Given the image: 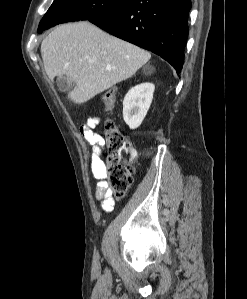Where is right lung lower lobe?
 <instances>
[{
  "mask_svg": "<svg viewBox=\"0 0 247 299\" xmlns=\"http://www.w3.org/2000/svg\"><path fill=\"white\" fill-rule=\"evenodd\" d=\"M190 8L191 0H128L114 11L89 21L158 54L180 73Z\"/></svg>",
  "mask_w": 247,
  "mask_h": 299,
  "instance_id": "right-lung-lower-lobe-1",
  "label": "right lung lower lobe"
}]
</instances>
